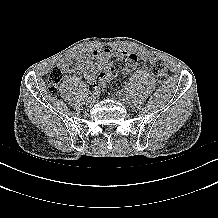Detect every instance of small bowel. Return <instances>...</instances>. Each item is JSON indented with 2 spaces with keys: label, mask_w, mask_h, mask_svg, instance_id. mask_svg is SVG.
<instances>
[{
  "label": "small bowel",
  "mask_w": 218,
  "mask_h": 218,
  "mask_svg": "<svg viewBox=\"0 0 218 218\" xmlns=\"http://www.w3.org/2000/svg\"><path fill=\"white\" fill-rule=\"evenodd\" d=\"M139 58L148 61L150 54L146 52L137 54L122 49L104 48L85 52H73L62 58L58 62V67L62 71L68 72L71 68L72 60H76L75 70L94 83L97 77L96 73L112 66L114 60L119 62L125 60L123 69L124 73H128L136 66Z\"/></svg>",
  "instance_id": "c3829d8e"
}]
</instances>
